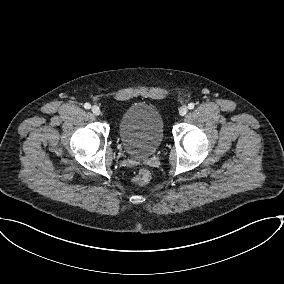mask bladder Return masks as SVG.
Here are the masks:
<instances>
[{
	"mask_svg": "<svg viewBox=\"0 0 284 284\" xmlns=\"http://www.w3.org/2000/svg\"><path fill=\"white\" fill-rule=\"evenodd\" d=\"M118 132L129 155L146 158L155 153L163 140V119L154 106L133 104L121 115Z\"/></svg>",
	"mask_w": 284,
	"mask_h": 284,
	"instance_id": "obj_1",
	"label": "bladder"
}]
</instances>
